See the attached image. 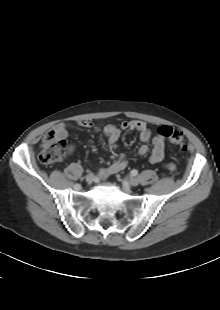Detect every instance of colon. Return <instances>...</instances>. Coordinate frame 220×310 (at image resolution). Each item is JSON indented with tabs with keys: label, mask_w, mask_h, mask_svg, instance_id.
<instances>
[{
	"label": "colon",
	"mask_w": 220,
	"mask_h": 310,
	"mask_svg": "<svg viewBox=\"0 0 220 310\" xmlns=\"http://www.w3.org/2000/svg\"><path fill=\"white\" fill-rule=\"evenodd\" d=\"M158 134L172 144L183 147L185 143L183 133L171 126H161L158 128ZM66 146L62 139L55 131H49L43 139L39 157L42 162L54 164L62 161L66 156Z\"/></svg>",
	"instance_id": "5ec220e1"
}]
</instances>
